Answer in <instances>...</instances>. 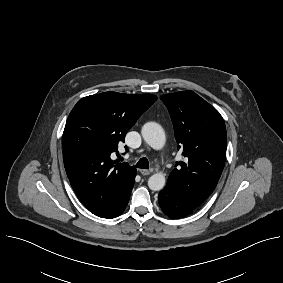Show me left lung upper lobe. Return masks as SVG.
<instances>
[{
  "label": "left lung upper lobe",
  "instance_id": "obj_1",
  "mask_svg": "<svg viewBox=\"0 0 283 283\" xmlns=\"http://www.w3.org/2000/svg\"><path fill=\"white\" fill-rule=\"evenodd\" d=\"M185 162L168 178L182 197L198 207L215 189L226 159L227 134L220 113L193 91L162 95ZM178 165V164H177Z\"/></svg>",
  "mask_w": 283,
  "mask_h": 283
}]
</instances>
